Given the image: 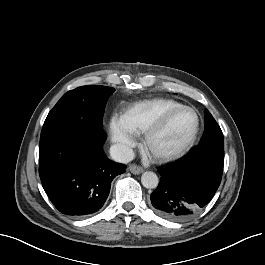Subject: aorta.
<instances>
[{
    "instance_id": "aorta-1",
    "label": "aorta",
    "mask_w": 265,
    "mask_h": 265,
    "mask_svg": "<svg viewBox=\"0 0 265 265\" xmlns=\"http://www.w3.org/2000/svg\"><path fill=\"white\" fill-rule=\"evenodd\" d=\"M141 183L145 188L153 189L158 186L159 180L154 172L146 171L141 176Z\"/></svg>"
}]
</instances>
